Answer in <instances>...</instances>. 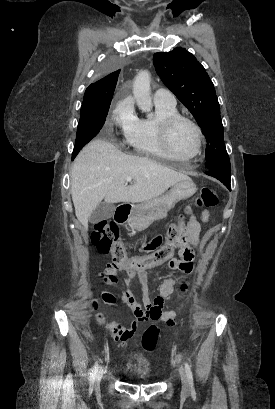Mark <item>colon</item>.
<instances>
[{"instance_id":"obj_1","label":"colon","mask_w":275,"mask_h":409,"mask_svg":"<svg viewBox=\"0 0 275 409\" xmlns=\"http://www.w3.org/2000/svg\"><path fill=\"white\" fill-rule=\"evenodd\" d=\"M218 204V196L211 188H203L199 197L194 201L193 209L202 210L215 207ZM187 209V211H193ZM120 227L113 221L104 220L99 222L90 235V243L102 252L113 254V260L109 261L105 267L106 275H115L117 270H125L127 274H142L145 270H156L157 266L167 263L168 257L175 255V248L181 241V232L175 228L174 223L167 226L164 234H157L144 248L149 252L146 256H124L125 247L119 240ZM111 276L110 278H112ZM102 298L105 302H113L114 295L103 293ZM96 309L97 304L93 303ZM97 325H113L103 316L98 315L95 318Z\"/></svg>"}]
</instances>
